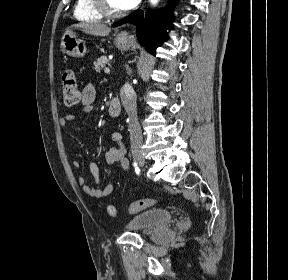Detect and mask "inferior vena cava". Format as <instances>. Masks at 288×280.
Instances as JSON below:
<instances>
[{"label":"inferior vena cava","instance_id":"1","mask_svg":"<svg viewBox=\"0 0 288 280\" xmlns=\"http://www.w3.org/2000/svg\"><path fill=\"white\" fill-rule=\"evenodd\" d=\"M119 94H121V101H123V106L127 113L128 126H130L129 141H131L130 147L133 150L131 157L133 159H144L142 127L139 125L137 106L133 105L136 103L137 92H134V89H129V85H122V89H119Z\"/></svg>","mask_w":288,"mask_h":280}]
</instances>
